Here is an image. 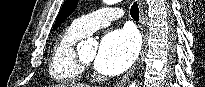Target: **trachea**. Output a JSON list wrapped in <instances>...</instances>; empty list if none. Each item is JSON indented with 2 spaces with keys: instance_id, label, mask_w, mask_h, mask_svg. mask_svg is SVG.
<instances>
[{
  "instance_id": "3493384b",
  "label": "trachea",
  "mask_w": 205,
  "mask_h": 87,
  "mask_svg": "<svg viewBox=\"0 0 205 87\" xmlns=\"http://www.w3.org/2000/svg\"><path fill=\"white\" fill-rule=\"evenodd\" d=\"M130 14L134 20H139V8L137 2H134L131 6Z\"/></svg>"
}]
</instances>
